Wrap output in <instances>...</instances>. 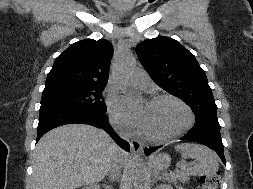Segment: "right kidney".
I'll return each mask as SVG.
<instances>
[{"mask_svg":"<svg viewBox=\"0 0 253 189\" xmlns=\"http://www.w3.org/2000/svg\"><path fill=\"white\" fill-rule=\"evenodd\" d=\"M82 189H100V187L97 184H90L89 186H86Z\"/></svg>","mask_w":253,"mask_h":189,"instance_id":"ca27d5eb","label":"right kidney"}]
</instances>
